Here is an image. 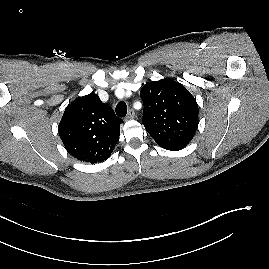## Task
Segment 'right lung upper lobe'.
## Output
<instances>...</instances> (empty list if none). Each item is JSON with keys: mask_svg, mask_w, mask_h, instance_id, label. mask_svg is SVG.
Instances as JSON below:
<instances>
[{"mask_svg": "<svg viewBox=\"0 0 269 269\" xmlns=\"http://www.w3.org/2000/svg\"><path fill=\"white\" fill-rule=\"evenodd\" d=\"M122 122L97 94H89L67 106L58 132L72 156L83 162L99 163L111 155Z\"/></svg>", "mask_w": 269, "mask_h": 269, "instance_id": "cb5924a9", "label": "right lung upper lobe"}]
</instances>
